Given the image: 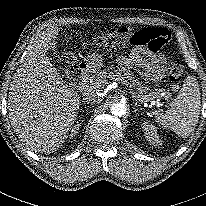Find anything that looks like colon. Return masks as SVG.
<instances>
[{
	"instance_id": "5ec220e1",
	"label": "colon",
	"mask_w": 206,
	"mask_h": 206,
	"mask_svg": "<svg viewBox=\"0 0 206 206\" xmlns=\"http://www.w3.org/2000/svg\"><path fill=\"white\" fill-rule=\"evenodd\" d=\"M170 40V32L163 28H147L132 32L122 27L98 39L103 47L114 48L125 44L147 46L151 52H158ZM165 70L172 83H179L184 75V65L180 60H171L166 63ZM71 76L76 77L75 67L68 68Z\"/></svg>"
}]
</instances>
